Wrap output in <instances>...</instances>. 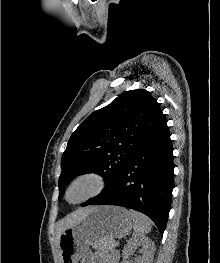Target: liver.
Returning <instances> with one entry per match:
<instances>
[{
	"instance_id": "obj_1",
	"label": "liver",
	"mask_w": 220,
	"mask_h": 263,
	"mask_svg": "<svg viewBox=\"0 0 220 263\" xmlns=\"http://www.w3.org/2000/svg\"><path fill=\"white\" fill-rule=\"evenodd\" d=\"M94 208L95 207H87V208H82V209L76 210V211L72 212L71 214L67 215L62 220H60L58 222L57 228H56L57 242L59 243L60 235L64 230L75 225L77 222H79L84 216H86Z\"/></svg>"
}]
</instances>
